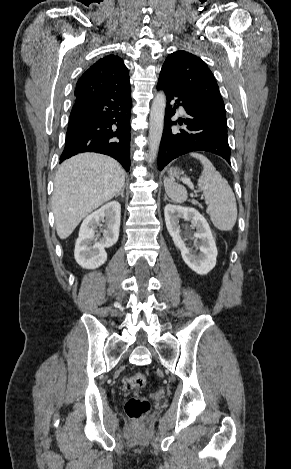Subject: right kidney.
I'll return each mask as SVG.
<instances>
[{
  "label": "right kidney",
  "mask_w": 291,
  "mask_h": 469,
  "mask_svg": "<svg viewBox=\"0 0 291 469\" xmlns=\"http://www.w3.org/2000/svg\"><path fill=\"white\" fill-rule=\"evenodd\" d=\"M120 216L121 205L112 201L84 219L74 251L75 260L81 267L96 269L105 263V248L113 246L119 237ZM101 222L105 223V229L102 231L103 238L99 239L96 228Z\"/></svg>",
  "instance_id": "obj_1"
}]
</instances>
